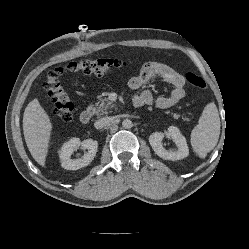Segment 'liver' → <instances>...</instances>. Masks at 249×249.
Listing matches in <instances>:
<instances>
[{"label":"liver","mask_w":249,"mask_h":249,"mask_svg":"<svg viewBox=\"0 0 249 249\" xmlns=\"http://www.w3.org/2000/svg\"><path fill=\"white\" fill-rule=\"evenodd\" d=\"M52 123L38 99H33L25 108L23 115V133L27 147L34 160L45 165Z\"/></svg>","instance_id":"obj_1"}]
</instances>
